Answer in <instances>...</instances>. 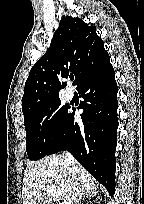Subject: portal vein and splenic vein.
<instances>
[{
    "mask_svg": "<svg viewBox=\"0 0 144 204\" xmlns=\"http://www.w3.org/2000/svg\"><path fill=\"white\" fill-rule=\"evenodd\" d=\"M46 191H47V194L51 196L52 198H57L61 195L60 189L54 186L48 187Z\"/></svg>",
    "mask_w": 144,
    "mask_h": 204,
    "instance_id": "1",
    "label": "portal vein and splenic vein"
}]
</instances>
